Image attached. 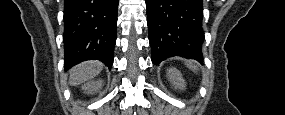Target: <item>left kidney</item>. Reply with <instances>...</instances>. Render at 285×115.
<instances>
[{"instance_id": "obj_1", "label": "left kidney", "mask_w": 285, "mask_h": 115, "mask_svg": "<svg viewBox=\"0 0 285 115\" xmlns=\"http://www.w3.org/2000/svg\"><path fill=\"white\" fill-rule=\"evenodd\" d=\"M167 77L169 81L173 84L174 88L183 90L186 86L182 74L176 68L167 69Z\"/></svg>"}]
</instances>
